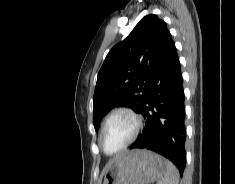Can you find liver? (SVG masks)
Here are the masks:
<instances>
[{"label":"liver","mask_w":235,"mask_h":184,"mask_svg":"<svg viewBox=\"0 0 235 184\" xmlns=\"http://www.w3.org/2000/svg\"><path fill=\"white\" fill-rule=\"evenodd\" d=\"M117 158H120V156H116V158H114V160H117ZM110 164H111V162H110ZM108 166H109V164H108ZM108 166H106L105 170H107Z\"/></svg>","instance_id":"1"}]
</instances>
